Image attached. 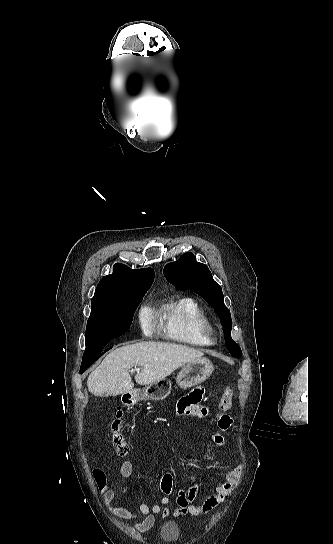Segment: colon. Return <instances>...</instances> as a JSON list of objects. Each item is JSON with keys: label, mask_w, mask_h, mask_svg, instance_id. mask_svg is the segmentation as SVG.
<instances>
[{"label": "colon", "mask_w": 333, "mask_h": 544, "mask_svg": "<svg viewBox=\"0 0 333 544\" xmlns=\"http://www.w3.org/2000/svg\"><path fill=\"white\" fill-rule=\"evenodd\" d=\"M234 392L231 388H226L223 392L221 399L218 403V419L225 415L233 403ZM111 440L115 449V452L120 456H125L130 452L131 446L129 441L123 434V418L122 412L118 411L110 426ZM94 477L99 486H103L105 482L104 473L96 469L94 470Z\"/></svg>", "instance_id": "obj_1"}]
</instances>
